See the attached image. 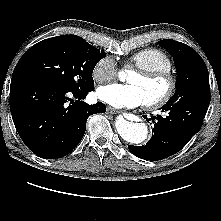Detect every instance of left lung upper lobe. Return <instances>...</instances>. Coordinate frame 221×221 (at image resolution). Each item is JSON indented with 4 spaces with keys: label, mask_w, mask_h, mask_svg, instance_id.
<instances>
[{
    "label": "left lung upper lobe",
    "mask_w": 221,
    "mask_h": 221,
    "mask_svg": "<svg viewBox=\"0 0 221 221\" xmlns=\"http://www.w3.org/2000/svg\"><path fill=\"white\" fill-rule=\"evenodd\" d=\"M173 56L176 71V91L167 104L186 102L210 94L209 73L203 59L188 45L174 40L158 42Z\"/></svg>",
    "instance_id": "left-lung-upper-lobe-1"
}]
</instances>
